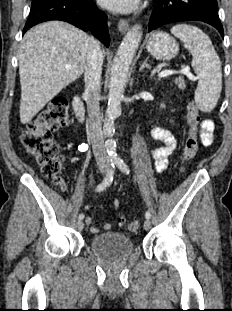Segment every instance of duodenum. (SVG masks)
Listing matches in <instances>:
<instances>
[{
  "mask_svg": "<svg viewBox=\"0 0 232 311\" xmlns=\"http://www.w3.org/2000/svg\"><path fill=\"white\" fill-rule=\"evenodd\" d=\"M73 108H74V111H75L77 118L80 121H83L85 119L86 110H85L84 103H83V101H82V99L78 93H76L74 95Z\"/></svg>",
  "mask_w": 232,
  "mask_h": 311,
  "instance_id": "1",
  "label": "duodenum"
}]
</instances>
